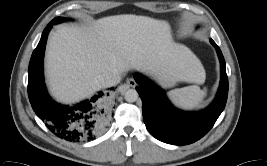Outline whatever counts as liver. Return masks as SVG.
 I'll return each instance as SVG.
<instances>
[{
    "mask_svg": "<svg viewBox=\"0 0 267 166\" xmlns=\"http://www.w3.org/2000/svg\"><path fill=\"white\" fill-rule=\"evenodd\" d=\"M131 69L187 83L202 84L206 77L198 58L173 42L163 20L115 15L58 28L49 38L46 75L52 95L62 102L105 87L100 78L107 72L121 76Z\"/></svg>",
    "mask_w": 267,
    "mask_h": 166,
    "instance_id": "obj_1",
    "label": "liver"
}]
</instances>
